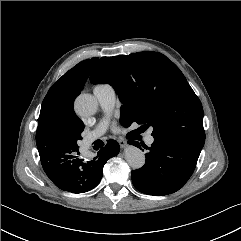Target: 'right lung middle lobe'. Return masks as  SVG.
Here are the masks:
<instances>
[{"label": "right lung middle lobe", "mask_w": 241, "mask_h": 241, "mask_svg": "<svg viewBox=\"0 0 241 241\" xmlns=\"http://www.w3.org/2000/svg\"><path fill=\"white\" fill-rule=\"evenodd\" d=\"M84 130L83 122H78V127L75 132L68 135L63 133L62 135H55L50 141H37V147L48 146L50 148H56L57 146H69L73 148H77V142L81 140V133Z\"/></svg>", "instance_id": "right-lung-middle-lobe-1"}]
</instances>
